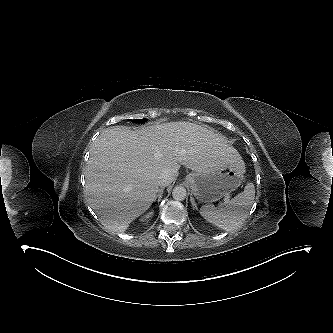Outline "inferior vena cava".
I'll return each mask as SVG.
<instances>
[{"mask_svg": "<svg viewBox=\"0 0 333 333\" xmlns=\"http://www.w3.org/2000/svg\"><path fill=\"white\" fill-rule=\"evenodd\" d=\"M172 181H173V177L170 174H168L167 172H164L158 177L157 184H158V186L163 188V187H166L169 184H171Z\"/></svg>", "mask_w": 333, "mask_h": 333, "instance_id": "obj_1", "label": "inferior vena cava"}]
</instances>
